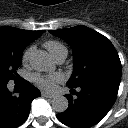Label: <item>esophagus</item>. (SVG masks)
Wrapping results in <instances>:
<instances>
[{
    "label": "esophagus",
    "mask_w": 128,
    "mask_h": 128,
    "mask_svg": "<svg viewBox=\"0 0 128 128\" xmlns=\"http://www.w3.org/2000/svg\"><path fill=\"white\" fill-rule=\"evenodd\" d=\"M41 95L45 98H54V95L53 94H50V93H46V92H42Z\"/></svg>",
    "instance_id": "1"
}]
</instances>
